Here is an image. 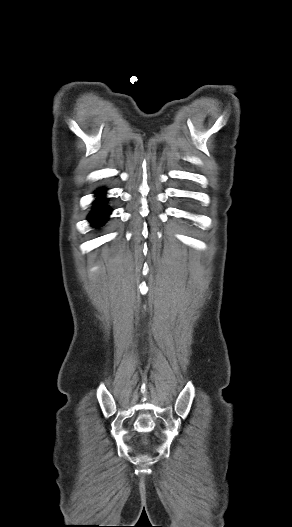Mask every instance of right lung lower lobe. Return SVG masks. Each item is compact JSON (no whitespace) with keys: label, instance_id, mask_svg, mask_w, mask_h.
Returning a JSON list of instances; mask_svg holds the SVG:
<instances>
[{"label":"right lung lower lobe","instance_id":"obj_1","mask_svg":"<svg viewBox=\"0 0 292 527\" xmlns=\"http://www.w3.org/2000/svg\"><path fill=\"white\" fill-rule=\"evenodd\" d=\"M104 191V189L96 191L98 199L95 201L96 205L88 217L92 225H103L111 212V210L105 205L106 199L103 195Z\"/></svg>","mask_w":292,"mask_h":527}]
</instances>
